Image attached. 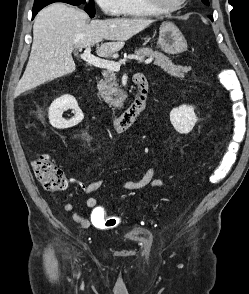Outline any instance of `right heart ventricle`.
<instances>
[{
  "mask_svg": "<svg viewBox=\"0 0 249 294\" xmlns=\"http://www.w3.org/2000/svg\"><path fill=\"white\" fill-rule=\"evenodd\" d=\"M119 15L146 17L156 13L146 5L144 0H120Z\"/></svg>",
  "mask_w": 249,
  "mask_h": 294,
  "instance_id": "e07e8e85",
  "label": "right heart ventricle"
}]
</instances>
